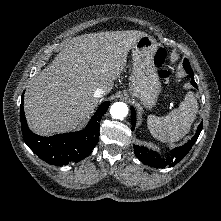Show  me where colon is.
<instances>
[{
  "mask_svg": "<svg viewBox=\"0 0 221 221\" xmlns=\"http://www.w3.org/2000/svg\"><path fill=\"white\" fill-rule=\"evenodd\" d=\"M166 60L167 52L164 49H159L155 55L154 62L157 67L161 68L159 76L164 80H168L170 78V72L163 68Z\"/></svg>",
  "mask_w": 221,
  "mask_h": 221,
  "instance_id": "obj_1",
  "label": "colon"
}]
</instances>
